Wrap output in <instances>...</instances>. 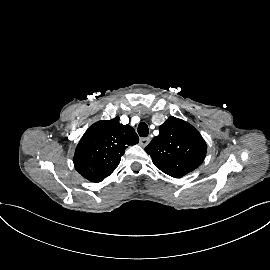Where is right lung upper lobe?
I'll use <instances>...</instances> for the list:
<instances>
[{
	"mask_svg": "<svg viewBox=\"0 0 270 270\" xmlns=\"http://www.w3.org/2000/svg\"><path fill=\"white\" fill-rule=\"evenodd\" d=\"M139 138L130 125L119 123V117L94 123L79 141L74 155L76 170L91 182H101L120 163L125 149Z\"/></svg>",
	"mask_w": 270,
	"mask_h": 270,
	"instance_id": "right-lung-upper-lobe-1",
	"label": "right lung upper lobe"
}]
</instances>
